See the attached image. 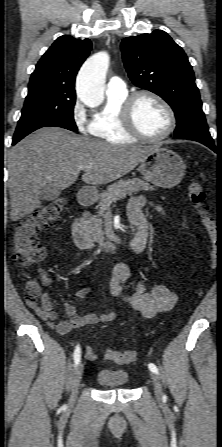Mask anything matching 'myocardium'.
<instances>
[{"instance_id":"obj_1","label":"myocardium","mask_w":222,"mask_h":447,"mask_svg":"<svg viewBox=\"0 0 222 447\" xmlns=\"http://www.w3.org/2000/svg\"><path fill=\"white\" fill-rule=\"evenodd\" d=\"M141 97H149L159 103L168 116V126L159 136L151 137L142 133L134 122V107ZM119 118L122 129L131 137L149 143H158L169 137L176 127V116L170 104L159 94L151 90L142 89L128 94L120 105Z\"/></svg>"}]
</instances>
